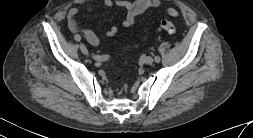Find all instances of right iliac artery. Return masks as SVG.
<instances>
[{"instance_id": "obj_1", "label": "right iliac artery", "mask_w": 253, "mask_h": 138, "mask_svg": "<svg viewBox=\"0 0 253 138\" xmlns=\"http://www.w3.org/2000/svg\"><path fill=\"white\" fill-rule=\"evenodd\" d=\"M75 40L77 42H80L81 41V37L79 35H76L75 36ZM95 58L100 59V60H107L109 58V55L105 54V55H102V56H95Z\"/></svg>"}]
</instances>
